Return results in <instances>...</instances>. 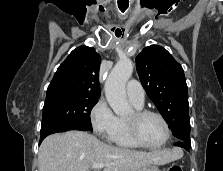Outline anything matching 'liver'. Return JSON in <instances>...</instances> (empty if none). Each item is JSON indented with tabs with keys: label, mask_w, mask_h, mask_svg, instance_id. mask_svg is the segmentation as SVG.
Here are the masks:
<instances>
[{
	"label": "liver",
	"mask_w": 223,
	"mask_h": 171,
	"mask_svg": "<svg viewBox=\"0 0 223 171\" xmlns=\"http://www.w3.org/2000/svg\"><path fill=\"white\" fill-rule=\"evenodd\" d=\"M180 149L141 152L101 142L83 131L46 137L39 149V171H89L93 164H106L104 171H139L144 166L164 165L180 157Z\"/></svg>",
	"instance_id": "liver-1"
}]
</instances>
